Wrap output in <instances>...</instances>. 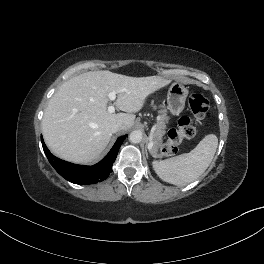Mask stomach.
I'll use <instances>...</instances> for the list:
<instances>
[{
    "mask_svg": "<svg viewBox=\"0 0 264 264\" xmlns=\"http://www.w3.org/2000/svg\"><path fill=\"white\" fill-rule=\"evenodd\" d=\"M188 96L187 88L180 82H174L167 94L168 109L173 115H178L185 107V101Z\"/></svg>",
    "mask_w": 264,
    "mask_h": 264,
    "instance_id": "obj_1",
    "label": "stomach"
}]
</instances>
